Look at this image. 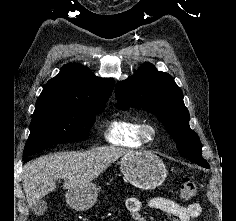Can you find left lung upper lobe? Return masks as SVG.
Here are the masks:
<instances>
[{
  "label": "left lung upper lobe",
  "instance_id": "left-lung-upper-lobe-1",
  "mask_svg": "<svg viewBox=\"0 0 236 221\" xmlns=\"http://www.w3.org/2000/svg\"><path fill=\"white\" fill-rule=\"evenodd\" d=\"M115 95L122 109L125 106L141 107L158 117L176 142L180 154L204 168H210L201 155L199 136L190 129V115L182 91L171 75L146 62L133 76L118 81Z\"/></svg>",
  "mask_w": 236,
  "mask_h": 221
}]
</instances>
